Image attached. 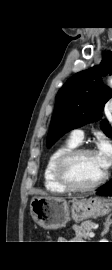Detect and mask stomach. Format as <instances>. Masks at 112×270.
Segmentation results:
<instances>
[{
	"instance_id": "1",
	"label": "stomach",
	"mask_w": 112,
	"mask_h": 270,
	"mask_svg": "<svg viewBox=\"0 0 112 270\" xmlns=\"http://www.w3.org/2000/svg\"><path fill=\"white\" fill-rule=\"evenodd\" d=\"M111 210L112 202L100 197L73 200L70 205L62 198L37 196L30 203L33 220L44 229H59L64 227L70 218L79 222L104 216Z\"/></svg>"
}]
</instances>
